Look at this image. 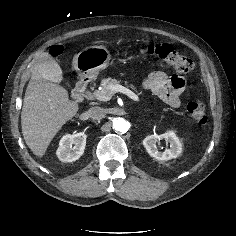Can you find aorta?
<instances>
[{
    "mask_svg": "<svg viewBox=\"0 0 236 236\" xmlns=\"http://www.w3.org/2000/svg\"><path fill=\"white\" fill-rule=\"evenodd\" d=\"M113 129L125 133L129 129V123L123 118H116L113 122Z\"/></svg>",
    "mask_w": 236,
    "mask_h": 236,
    "instance_id": "762f6f07",
    "label": "aorta"
}]
</instances>
